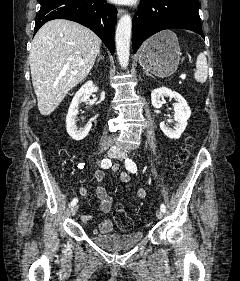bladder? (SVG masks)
<instances>
[{
	"instance_id": "1",
	"label": "bladder",
	"mask_w": 240,
	"mask_h": 281,
	"mask_svg": "<svg viewBox=\"0 0 240 281\" xmlns=\"http://www.w3.org/2000/svg\"><path fill=\"white\" fill-rule=\"evenodd\" d=\"M142 239L143 233L141 231L99 234L92 237L96 245L113 252L129 250L138 245Z\"/></svg>"
}]
</instances>
